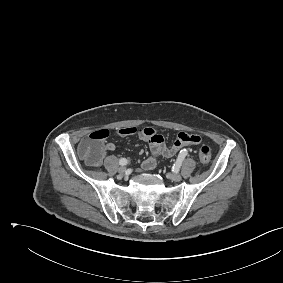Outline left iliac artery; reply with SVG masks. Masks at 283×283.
<instances>
[{"mask_svg": "<svg viewBox=\"0 0 283 283\" xmlns=\"http://www.w3.org/2000/svg\"><path fill=\"white\" fill-rule=\"evenodd\" d=\"M187 150H182L180 152V154L178 155V158L176 160V163L173 166V169L178 170L183 162V160L185 159L186 155H187Z\"/></svg>", "mask_w": 283, "mask_h": 283, "instance_id": "obj_1", "label": "left iliac artery"}]
</instances>
